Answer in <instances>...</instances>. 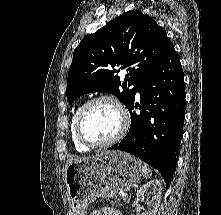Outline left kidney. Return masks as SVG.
<instances>
[{
	"label": "left kidney",
	"mask_w": 221,
	"mask_h": 215,
	"mask_svg": "<svg viewBox=\"0 0 221 215\" xmlns=\"http://www.w3.org/2000/svg\"><path fill=\"white\" fill-rule=\"evenodd\" d=\"M161 195L162 182L160 180L149 181L137 191L132 207L138 206L144 197H151L148 202V211L144 215H156L160 205Z\"/></svg>",
	"instance_id": "obj_1"
}]
</instances>
